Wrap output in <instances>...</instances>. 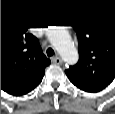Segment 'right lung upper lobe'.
I'll return each instance as SVG.
<instances>
[{"label": "right lung upper lobe", "instance_id": "cb5924a9", "mask_svg": "<svg viewBox=\"0 0 115 114\" xmlns=\"http://www.w3.org/2000/svg\"><path fill=\"white\" fill-rule=\"evenodd\" d=\"M22 21L1 20V89L21 96L36 88L51 61Z\"/></svg>", "mask_w": 115, "mask_h": 114}]
</instances>
